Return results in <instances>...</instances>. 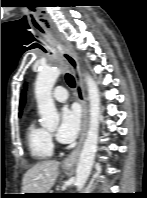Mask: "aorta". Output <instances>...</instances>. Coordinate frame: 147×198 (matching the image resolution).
Masks as SVG:
<instances>
[{
    "label": "aorta",
    "instance_id": "obj_1",
    "mask_svg": "<svg viewBox=\"0 0 147 198\" xmlns=\"http://www.w3.org/2000/svg\"><path fill=\"white\" fill-rule=\"evenodd\" d=\"M61 74L59 67H45L38 74L35 82V97L40 123L44 128L56 127L59 115L52 98V89ZM89 98V128L76 169L77 190L84 187L91 172L95 153L97 150L99 120H100V95L96 82L90 75L85 76Z\"/></svg>",
    "mask_w": 147,
    "mask_h": 198
}]
</instances>
